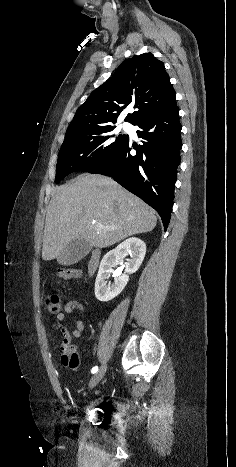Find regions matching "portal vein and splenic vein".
<instances>
[{
    "instance_id": "portal-vein-and-splenic-vein-1",
    "label": "portal vein and splenic vein",
    "mask_w": 236,
    "mask_h": 467,
    "mask_svg": "<svg viewBox=\"0 0 236 467\" xmlns=\"http://www.w3.org/2000/svg\"><path fill=\"white\" fill-rule=\"evenodd\" d=\"M98 227H99L100 229H102V228H103V225L100 224ZM111 228L114 229V227H111Z\"/></svg>"
}]
</instances>
